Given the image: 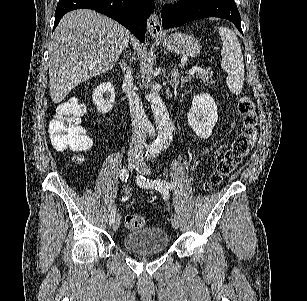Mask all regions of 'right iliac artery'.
I'll list each match as a JSON object with an SVG mask.
<instances>
[{
    "instance_id": "obj_1",
    "label": "right iliac artery",
    "mask_w": 307,
    "mask_h": 301,
    "mask_svg": "<svg viewBox=\"0 0 307 301\" xmlns=\"http://www.w3.org/2000/svg\"><path fill=\"white\" fill-rule=\"evenodd\" d=\"M128 173H127V171L125 170V169H121L120 170V179L122 180V181H127V179H128ZM115 215H116V208H115V206L112 208V210H111V213H110V216H109V225H112L113 223H114V221H115Z\"/></svg>"
}]
</instances>
